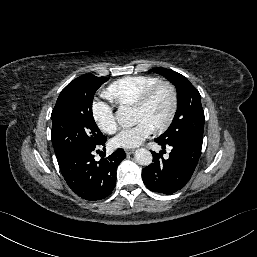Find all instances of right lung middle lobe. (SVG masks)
<instances>
[{"label": "right lung middle lobe", "mask_w": 257, "mask_h": 257, "mask_svg": "<svg viewBox=\"0 0 257 257\" xmlns=\"http://www.w3.org/2000/svg\"><path fill=\"white\" fill-rule=\"evenodd\" d=\"M107 80L84 74L61 91L51 114V140L57 160L74 150L95 149L106 141L94 121L92 102L96 90Z\"/></svg>", "instance_id": "dd1d6c3e"}]
</instances>
